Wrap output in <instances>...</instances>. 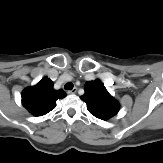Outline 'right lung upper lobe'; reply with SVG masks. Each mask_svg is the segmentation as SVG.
<instances>
[{"label":"right lung upper lobe","mask_w":163,"mask_h":163,"mask_svg":"<svg viewBox=\"0 0 163 163\" xmlns=\"http://www.w3.org/2000/svg\"><path fill=\"white\" fill-rule=\"evenodd\" d=\"M53 82L45 77L33 87L22 92L23 106L34 116H42L56 107V100L66 96L63 90H55Z\"/></svg>","instance_id":"cb5924a9"}]
</instances>
